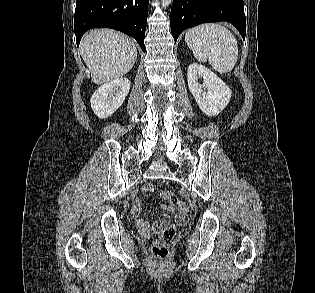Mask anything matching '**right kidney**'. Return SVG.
Returning a JSON list of instances; mask_svg holds the SVG:
<instances>
[{"mask_svg": "<svg viewBox=\"0 0 315 293\" xmlns=\"http://www.w3.org/2000/svg\"><path fill=\"white\" fill-rule=\"evenodd\" d=\"M129 90L130 81L126 78L103 84L91 97L93 112L101 119L111 116L122 105Z\"/></svg>", "mask_w": 315, "mask_h": 293, "instance_id": "obj_1", "label": "right kidney"}]
</instances>
